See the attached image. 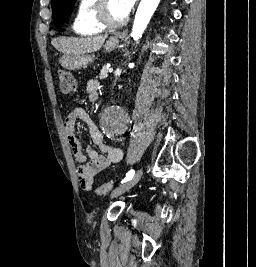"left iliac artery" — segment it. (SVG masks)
Here are the masks:
<instances>
[{
  "label": "left iliac artery",
  "instance_id": "obj_1",
  "mask_svg": "<svg viewBox=\"0 0 256 267\" xmlns=\"http://www.w3.org/2000/svg\"><path fill=\"white\" fill-rule=\"evenodd\" d=\"M135 174L134 170H130L128 173H126V177L121 181L122 183L130 180Z\"/></svg>",
  "mask_w": 256,
  "mask_h": 267
}]
</instances>
